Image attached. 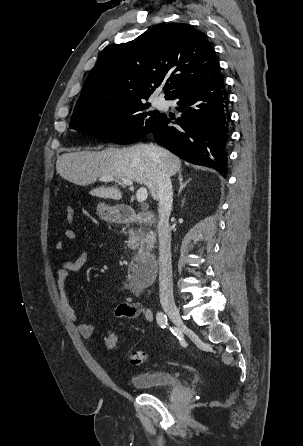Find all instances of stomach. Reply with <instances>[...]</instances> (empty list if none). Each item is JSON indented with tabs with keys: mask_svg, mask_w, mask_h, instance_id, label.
Here are the masks:
<instances>
[{
	"mask_svg": "<svg viewBox=\"0 0 303 446\" xmlns=\"http://www.w3.org/2000/svg\"><path fill=\"white\" fill-rule=\"evenodd\" d=\"M98 215L106 221H114L118 218V211L104 203H99L97 205Z\"/></svg>",
	"mask_w": 303,
	"mask_h": 446,
	"instance_id": "obj_1",
	"label": "stomach"
}]
</instances>
